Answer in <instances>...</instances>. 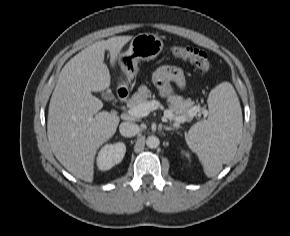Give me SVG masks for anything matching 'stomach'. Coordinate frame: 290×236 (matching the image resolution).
I'll use <instances>...</instances> for the list:
<instances>
[{"instance_id":"obj_1","label":"stomach","mask_w":290,"mask_h":236,"mask_svg":"<svg viewBox=\"0 0 290 236\" xmlns=\"http://www.w3.org/2000/svg\"><path fill=\"white\" fill-rule=\"evenodd\" d=\"M163 46V41L155 34L140 33L133 37L128 50L118 58L119 66L126 79L130 81L135 77L139 61H149L159 56Z\"/></svg>"}]
</instances>
